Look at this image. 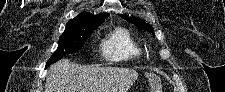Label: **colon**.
Instances as JSON below:
<instances>
[{
    "instance_id": "obj_1",
    "label": "colon",
    "mask_w": 225,
    "mask_h": 92,
    "mask_svg": "<svg viewBox=\"0 0 225 92\" xmlns=\"http://www.w3.org/2000/svg\"><path fill=\"white\" fill-rule=\"evenodd\" d=\"M147 79L149 81L152 92H161L162 91L161 81L157 76H155L153 74H148Z\"/></svg>"
}]
</instances>
